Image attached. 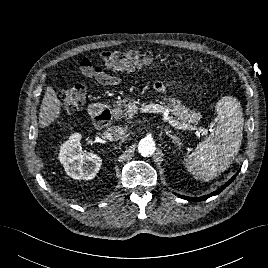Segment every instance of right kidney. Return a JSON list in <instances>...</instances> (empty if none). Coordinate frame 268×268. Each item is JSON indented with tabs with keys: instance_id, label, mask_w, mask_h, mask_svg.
Instances as JSON below:
<instances>
[{
	"instance_id": "right-kidney-1",
	"label": "right kidney",
	"mask_w": 268,
	"mask_h": 268,
	"mask_svg": "<svg viewBox=\"0 0 268 268\" xmlns=\"http://www.w3.org/2000/svg\"><path fill=\"white\" fill-rule=\"evenodd\" d=\"M80 133L72 134L60 147L59 160L73 179L92 180L98 173L102 159L93 152L83 153Z\"/></svg>"
}]
</instances>
